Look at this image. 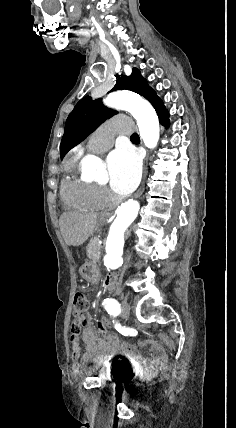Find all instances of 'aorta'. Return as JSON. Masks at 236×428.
Listing matches in <instances>:
<instances>
[{
  "instance_id": "obj_1",
  "label": "aorta",
  "mask_w": 236,
  "mask_h": 428,
  "mask_svg": "<svg viewBox=\"0 0 236 428\" xmlns=\"http://www.w3.org/2000/svg\"><path fill=\"white\" fill-rule=\"evenodd\" d=\"M104 103L118 110H126L136 119L140 136L148 148L157 146L160 128L158 116L149 102L139 95L129 91H117L109 94ZM83 166L92 169L95 178H103L104 172L98 158L89 155L83 160ZM140 205L135 200H129L118 207L116 218L110 226L106 241L104 265L117 269L123 264L124 233L138 215Z\"/></svg>"
}]
</instances>
